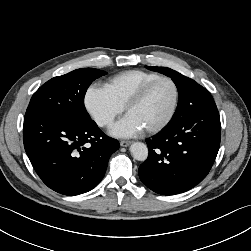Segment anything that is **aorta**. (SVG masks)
Wrapping results in <instances>:
<instances>
[{
	"label": "aorta",
	"mask_w": 251,
	"mask_h": 251,
	"mask_svg": "<svg viewBox=\"0 0 251 251\" xmlns=\"http://www.w3.org/2000/svg\"><path fill=\"white\" fill-rule=\"evenodd\" d=\"M130 152L138 161H145L148 157V148L142 142H134L130 147Z\"/></svg>",
	"instance_id": "obj_1"
}]
</instances>
